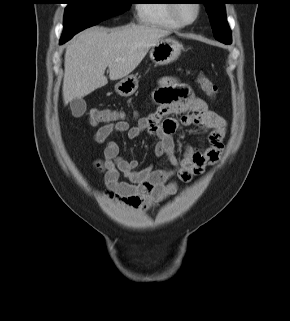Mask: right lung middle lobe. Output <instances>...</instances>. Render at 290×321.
<instances>
[{
    "instance_id": "obj_1",
    "label": "right lung middle lobe",
    "mask_w": 290,
    "mask_h": 321,
    "mask_svg": "<svg viewBox=\"0 0 290 321\" xmlns=\"http://www.w3.org/2000/svg\"><path fill=\"white\" fill-rule=\"evenodd\" d=\"M64 29L61 40L68 41L76 33L119 15L131 6V0H66Z\"/></svg>"
}]
</instances>
